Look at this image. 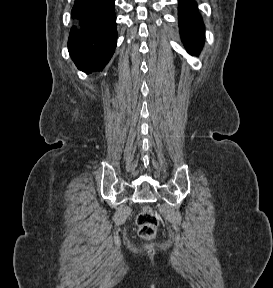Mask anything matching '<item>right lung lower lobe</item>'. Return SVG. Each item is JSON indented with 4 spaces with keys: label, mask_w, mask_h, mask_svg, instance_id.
<instances>
[{
    "label": "right lung lower lobe",
    "mask_w": 273,
    "mask_h": 288,
    "mask_svg": "<svg viewBox=\"0 0 273 288\" xmlns=\"http://www.w3.org/2000/svg\"><path fill=\"white\" fill-rule=\"evenodd\" d=\"M115 0H75L68 50L76 66L89 73L101 70L112 57L117 41Z\"/></svg>",
    "instance_id": "right-lung-lower-lobe-1"
}]
</instances>
